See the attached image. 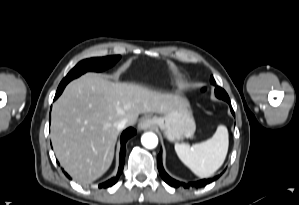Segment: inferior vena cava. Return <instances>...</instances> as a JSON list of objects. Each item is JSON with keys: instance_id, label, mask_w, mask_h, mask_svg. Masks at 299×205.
I'll return each mask as SVG.
<instances>
[{"instance_id": "obj_1", "label": "inferior vena cava", "mask_w": 299, "mask_h": 205, "mask_svg": "<svg viewBox=\"0 0 299 205\" xmlns=\"http://www.w3.org/2000/svg\"><path fill=\"white\" fill-rule=\"evenodd\" d=\"M127 123H128V120H127V119H122L121 121L117 122V123L115 124V126H116V128H117L118 130H122V129L125 128V126L127 125Z\"/></svg>"}]
</instances>
